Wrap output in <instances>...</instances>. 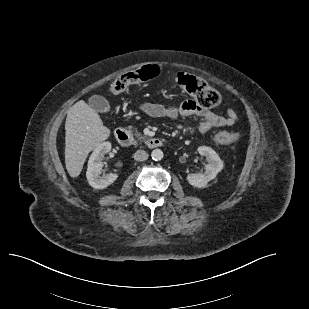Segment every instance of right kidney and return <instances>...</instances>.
Instances as JSON below:
<instances>
[{"instance_id":"right-kidney-1","label":"right kidney","mask_w":309,"mask_h":309,"mask_svg":"<svg viewBox=\"0 0 309 309\" xmlns=\"http://www.w3.org/2000/svg\"><path fill=\"white\" fill-rule=\"evenodd\" d=\"M111 147L110 142H103L94 149L89 158L86 177L89 185L94 189H104L111 185L118 177L115 173L101 176L102 160L104 155L110 152Z\"/></svg>"}]
</instances>
